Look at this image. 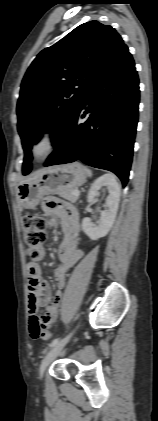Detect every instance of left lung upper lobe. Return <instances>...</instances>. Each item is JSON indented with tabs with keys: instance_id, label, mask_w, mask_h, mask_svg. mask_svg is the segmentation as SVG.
<instances>
[{
	"instance_id": "obj_1",
	"label": "left lung upper lobe",
	"mask_w": 158,
	"mask_h": 421,
	"mask_svg": "<svg viewBox=\"0 0 158 421\" xmlns=\"http://www.w3.org/2000/svg\"><path fill=\"white\" fill-rule=\"evenodd\" d=\"M123 45L114 28L93 20L37 55L23 78L17 104L24 175L31 171L32 145L46 131L56 142L91 84Z\"/></svg>"
}]
</instances>
